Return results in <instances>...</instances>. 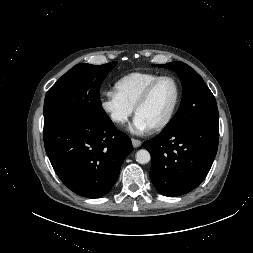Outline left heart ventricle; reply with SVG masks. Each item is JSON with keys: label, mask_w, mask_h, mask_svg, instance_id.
Here are the masks:
<instances>
[{"label": "left heart ventricle", "mask_w": 253, "mask_h": 253, "mask_svg": "<svg viewBox=\"0 0 253 253\" xmlns=\"http://www.w3.org/2000/svg\"><path fill=\"white\" fill-rule=\"evenodd\" d=\"M175 97L176 87L174 82L165 79L157 85L148 102L138 111L137 116L150 128H153L168 116Z\"/></svg>", "instance_id": "b2bd125f"}]
</instances>
